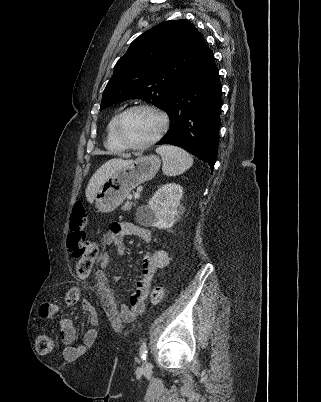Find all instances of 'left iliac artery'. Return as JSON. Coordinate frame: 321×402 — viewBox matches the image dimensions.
<instances>
[{"instance_id": "obj_1", "label": "left iliac artery", "mask_w": 321, "mask_h": 402, "mask_svg": "<svg viewBox=\"0 0 321 402\" xmlns=\"http://www.w3.org/2000/svg\"><path fill=\"white\" fill-rule=\"evenodd\" d=\"M147 349H148V348H147V344H146V343H143V344L141 345L140 351H139V354H140V357H141L142 360H146Z\"/></svg>"}]
</instances>
